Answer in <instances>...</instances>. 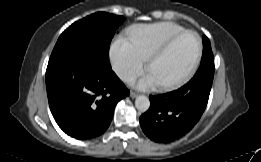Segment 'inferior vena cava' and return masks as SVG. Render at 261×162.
<instances>
[{
  "mask_svg": "<svg viewBox=\"0 0 261 162\" xmlns=\"http://www.w3.org/2000/svg\"><path fill=\"white\" fill-rule=\"evenodd\" d=\"M122 79L124 81H132V80L135 79V76L130 74V73L125 72V73L122 74Z\"/></svg>",
  "mask_w": 261,
  "mask_h": 162,
  "instance_id": "inferior-vena-cava-1",
  "label": "inferior vena cava"
}]
</instances>
